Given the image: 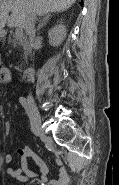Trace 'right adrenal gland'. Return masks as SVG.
I'll use <instances>...</instances> for the list:
<instances>
[{"label":"right adrenal gland","mask_w":119,"mask_h":185,"mask_svg":"<svg viewBox=\"0 0 119 185\" xmlns=\"http://www.w3.org/2000/svg\"><path fill=\"white\" fill-rule=\"evenodd\" d=\"M50 17V14H46L45 16L42 17V19L39 21V24L37 26V32L41 29L42 26L46 24Z\"/></svg>","instance_id":"2a0ac1e0"}]
</instances>
